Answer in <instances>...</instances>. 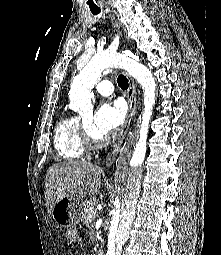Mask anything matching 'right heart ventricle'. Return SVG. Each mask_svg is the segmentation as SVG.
Masks as SVG:
<instances>
[{
  "mask_svg": "<svg viewBox=\"0 0 221 255\" xmlns=\"http://www.w3.org/2000/svg\"><path fill=\"white\" fill-rule=\"evenodd\" d=\"M54 144L57 154L66 161L84 157L87 147L83 140L79 117L65 114L59 119L55 129Z\"/></svg>",
  "mask_w": 221,
  "mask_h": 255,
  "instance_id": "obj_1",
  "label": "right heart ventricle"
}]
</instances>
